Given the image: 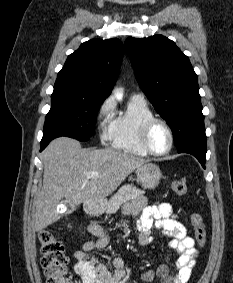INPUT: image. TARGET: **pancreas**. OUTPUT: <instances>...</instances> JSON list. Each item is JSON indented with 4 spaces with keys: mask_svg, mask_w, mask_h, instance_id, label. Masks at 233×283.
<instances>
[{
    "mask_svg": "<svg viewBox=\"0 0 233 283\" xmlns=\"http://www.w3.org/2000/svg\"><path fill=\"white\" fill-rule=\"evenodd\" d=\"M144 193L145 191L136 188L132 184L123 185L108 201L106 213H115L122 204L130 200H134L142 196Z\"/></svg>",
    "mask_w": 233,
    "mask_h": 283,
    "instance_id": "obj_1",
    "label": "pancreas"
}]
</instances>
